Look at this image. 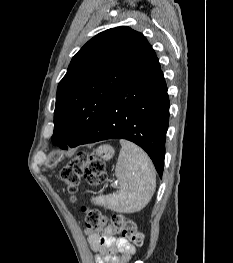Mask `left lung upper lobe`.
<instances>
[{
    "mask_svg": "<svg viewBox=\"0 0 233 263\" xmlns=\"http://www.w3.org/2000/svg\"><path fill=\"white\" fill-rule=\"evenodd\" d=\"M150 47L143 34L126 26L88 41L59 82L53 138L82 142Z\"/></svg>",
    "mask_w": 233,
    "mask_h": 263,
    "instance_id": "1",
    "label": "left lung upper lobe"
}]
</instances>
